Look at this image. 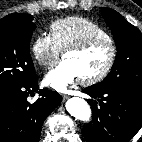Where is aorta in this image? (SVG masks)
Here are the masks:
<instances>
[{"instance_id":"obj_1","label":"aorta","mask_w":142,"mask_h":142,"mask_svg":"<svg viewBox=\"0 0 142 142\" xmlns=\"http://www.w3.org/2000/svg\"><path fill=\"white\" fill-rule=\"evenodd\" d=\"M66 109L70 115L82 121H89L91 110L88 103L79 97H72L66 101Z\"/></svg>"}]
</instances>
